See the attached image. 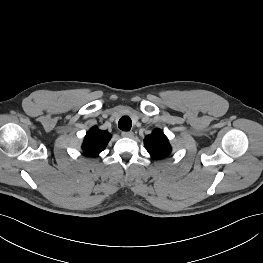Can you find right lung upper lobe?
<instances>
[{
  "instance_id": "1",
  "label": "right lung upper lobe",
  "mask_w": 263,
  "mask_h": 263,
  "mask_svg": "<svg viewBox=\"0 0 263 263\" xmlns=\"http://www.w3.org/2000/svg\"><path fill=\"white\" fill-rule=\"evenodd\" d=\"M110 139L111 135L108 132L93 127L86 134L82 149L88 156L96 157L105 149Z\"/></svg>"
}]
</instances>
